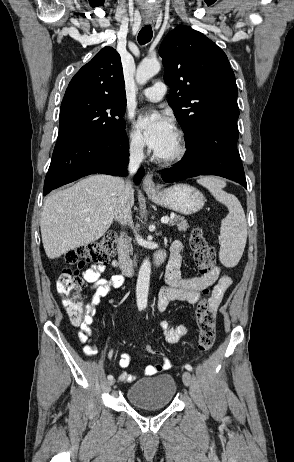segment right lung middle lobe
<instances>
[{"mask_svg": "<svg viewBox=\"0 0 294 462\" xmlns=\"http://www.w3.org/2000/svg\"><path fill=\"white\" fill-rule=\"evenodd\" d=\"M125 109L126 99L75 97L63 100L57 141L76 135L125 130Z\"/></svg>", "mask_w": 294, "mask_h": 462, "instance_id": "1", "label": "right lung middle lobe"}]
</instances>
